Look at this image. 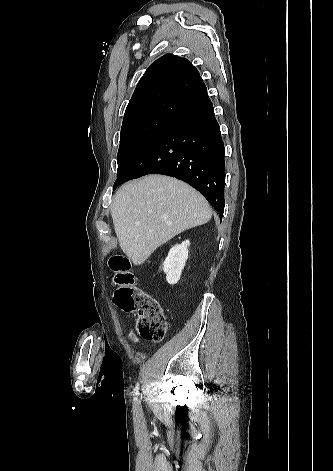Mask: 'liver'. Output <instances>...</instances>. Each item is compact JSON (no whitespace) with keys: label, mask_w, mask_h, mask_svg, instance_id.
I'll list each match as a JSON object with an SVG mask.
<instances>
[{"label":"liver","mask_w":333,"mask_h":471,"mask_svg":"<svg viewBox=\"0 0 333 471\" xmlns=\"http://www.w3.org/2000/svg\"><path fill=\"white\" fill-rule=\"evenodd\" d=\"M111 216L123 252L134 265H141L174 236L207 223L212 211L206 199L183 181L148 175L116 192Z\"/></svg>","instance_id":"liver-1"}]
</instances>
